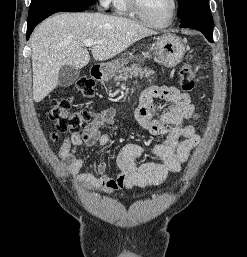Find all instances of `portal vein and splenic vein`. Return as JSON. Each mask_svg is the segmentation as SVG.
<instances>
[{"label":"portal vein and splenic vein","mask_w":247,"mask_h":257,"mask_svg":"<svg viewBox=\"0 0 247 257\" xmlns=\"http://www.w3.org/2000/svg\"><path fill=\"white\" fill-rule=\"evenodd\" d=\"M102 43L101 41H95V40H92V39H87L84 41V45L85 47H92L93 45L95 44H100Z\"/></svg>","instance_id":"obj_1"}]
</instances>
